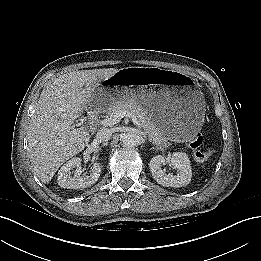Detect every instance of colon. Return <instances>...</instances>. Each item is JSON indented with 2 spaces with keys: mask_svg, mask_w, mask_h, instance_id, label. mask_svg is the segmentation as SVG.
Masks as SVG:
<instances>
[{
  "mask_svg": "<svg viewBox=\"0 0 261 261\" xmlns=\"http://www.w3.org/2000/svg\"><path fill=\"white\" fill-rule=\"evenodd\" d=\"M203 137L201 134H195L189 141V147L197 161H205L212 155L211 149H202Z\"/></svg>",
  "mask_w": 261,
  "mask_h": 261,
  "instance_id": "1",
  "label": "colon"
}]
</instances>
